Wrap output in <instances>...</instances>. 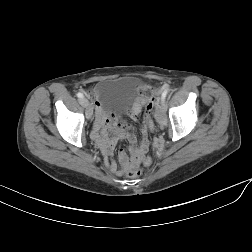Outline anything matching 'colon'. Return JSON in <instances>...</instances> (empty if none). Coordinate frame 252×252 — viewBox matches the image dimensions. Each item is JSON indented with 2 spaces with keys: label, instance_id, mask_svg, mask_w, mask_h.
Returning a JSON list of instances; mask_svg holds the SVG:
<instances>
[{
  "label": "colon",
  "instance_id": "1",
  "mask_svg": "<svg viewBox=\"0 0 252 252\" xmlns=\"http://www.w3.org/2000/svg\"><path fill=\"white\" fill-rule=\"evenodd\" d=\"M141 90L144 92H148L149 88L147 87H141ZM88 96L91 100H95L96 96L93 92H89ZM152 109H153V101L150 100L148 105L146 106V110L144 113V123L146 125H152ZM143 172V168L141 166H135L131 167L126 171V175L129 178H136L140 176Z\"/></svg>",
  "mask_w": 252,
  "mask_h": 252
}]
</instances>
